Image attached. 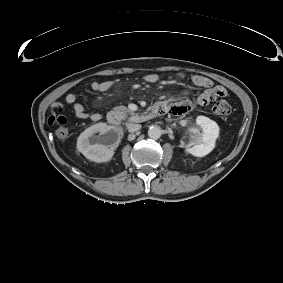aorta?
Masks as SVG:
<instances>
[{"label": "aorta", "instance_id": "1", "mask_svg": "<svg viewBox=\"0 0 283 283\" xmlns=\"http://www.w3.org/2000/svg\"><path fill=\"white\" fill-rule=\"evenodd\" d=\"M161 134H162V131L159 126L153 125V126H150V128L148 129V136L152 139L160 138Z\"/></svg>", "mask_w": 283, "mask_h": 283}]
</instances>
